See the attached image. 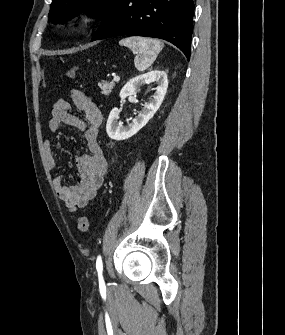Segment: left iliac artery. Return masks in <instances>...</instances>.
<instances>
[{
  "instance_id": "obj_1",
  "label": "left iliac artery",
  "mask_w": 285,
  "mask_h": 335,
  "mask_svg": "<svg viewBox=\"0 0 285 335\" xmlns=\"http://www.w3.org/2000/svg\"><path fill=\"white\" fill-rule=\"evenodd\" d=\"M96 269H97V272H98L99 279H102L103 264H102L101 256L97 257Z\"/></svg>"
}]
</instances>
